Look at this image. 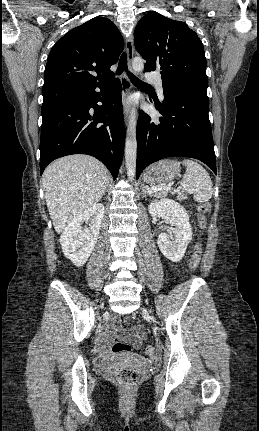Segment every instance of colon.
Instances as JSON below:
<instances>
[{"instance_id":"colon-1","label":"colon","mask_w":259,"mask_h":431,"mask_svg":"<svg viewBox=\"0 0 259 431\" xmlns=\"http://www.w3.org/2000/svg\"><path fill=\"white\" fill-rule=\"evenodd\" d=\"M211 210V204L209 202H204L200 204L197 208V217H198V227L200 233L206 227V214ZM201 250V241L198 240L193 248L191 259H190V270L196 271L199 266V256ZM131 350V346L126 343H115L112 346L113 353H124L129 352ZM143 353L147 358H153L155 356V349L152 346H146L143 349ZM114 377L116 380L124 387H132L135 385L139 379V372L130 368H117L114 370Z\"/></svg>"}]
</instances>
